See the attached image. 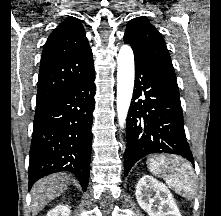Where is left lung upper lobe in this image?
<instances>
[{
    "label": "left lung upper lobe",
    "instance_id": "obj_1",
    "mask_svg": "<svg viewBox=\"0 0 221 216\" xmlns=\"http://www.w3.org/2000/svg\"><path fill=\"white\" fill-rule=\"evenodd\" d=\"M124 42L131 45L135 57L160 66L175 76L163 37L145 18L130 20Z\"/></svg>",
    "mask_w": 221,
    "mask_h": 216
}]
</instances>
